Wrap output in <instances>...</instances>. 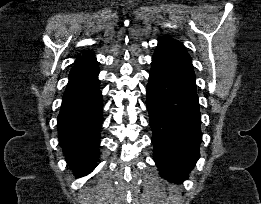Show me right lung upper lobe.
<instances>
[{
	"label": "right lung upper lobe",
	"instance_id": "obj_1",
	"mask_svg": "<svg viewBox=\"0 0 261 204\" xmlns=\"http://www.w3.org/2000/svg\"><path fill=\"white\" fill-rule=\"evenodd\" d=\"M93 58H95V57H94V54L91 51H89V50L84 51L83 52V58L80 55H78L75 63L77 64V63H80V62H85V61L93 59Z\"/></svg>",
	"mask_w": 261,
	"mask_h": 204
}]
</instances>
